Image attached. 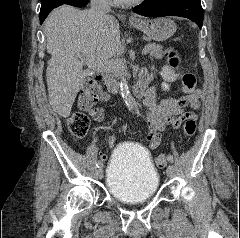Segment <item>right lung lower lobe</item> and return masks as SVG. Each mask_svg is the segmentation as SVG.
<instances>
[{
    "mask_svg": "<svg viewBox=\"0 0 240 238\" xmlns=\"http://www.w3.org/2000/svg\"><path fill=\"white\" fill-rule=\"evenodd\" d=\"M87 3H88V0H71L68 4L75 7H83V6H86ZM47 15L44 17H40V23H43Z\"/></svg>",
    "mask_w": 240,
    "mask_h": 238,
    "instance_id": "98d812e1",
    "label": "right lung lower lobe"
}]
</instances>
